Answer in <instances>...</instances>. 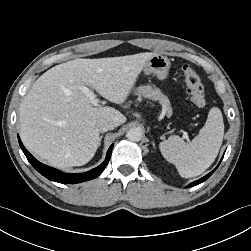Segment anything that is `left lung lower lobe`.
<instances>
[{"label":"left lung lower lobe","mask_w":251,"mask_h":251,"mask_svg":"<svg viewBox=\"0 0 251 251\" xmlns=\"http://www.w3.org/2000/svg\"><path fill=\"white\" fill-rule=\"evenodd\" d=\"M218 166H219V165H218ZM218 166H217L212 172H210V173L207 174L206 176L202 177L201 179L192 182V183L189 184L187 187L196 186V185H198V184L204 182L205 180H207V179L214 173V171L218 168Z\"/></svg>","instance_id":"0a47b994"}]
</instances>
